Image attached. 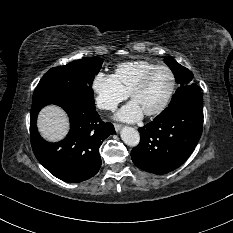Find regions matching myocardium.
<instances>
[{"label": "myocardium", "instance_id": "myocardium-1", "mask_svg": "<svg viewBox=\"0 0 233 233\" xmlns=\"http://www.w3.org/2000/svg\"><path fill=\"white\" fill-rule=\"evenodd\" d=\"M158 70H166L169 72V74L171 76V87H170V90H169L167 96L165 97L164 101L160 104L159 107H157L156 109H154L150 112L144 113L148 117L157 116V115L161 114L168 107V105H169V103H170V101L175 93L176 85H177L176 76H175L173 70L166 65H158V66L152 68L151 70L146 72L140 78V80L134 85V87L132 88V90L129 93V96L132 99L136 93H138L139 91H141L145 87V85L147 84L150 77Z\"/></svg>", "mask_w": 233, "mask_h": 233}]
</instances>
